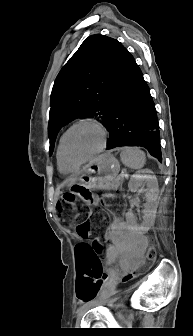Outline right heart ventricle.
Masks as SVG:
<instances>
[{
	"label": "right heart ventricle",
	"instance_id": "right-heart-ventricle-1",
	"mask_svg": "<svg viewBox=\"0 0 193 336\" xmlns=\"http://www.w3.org/2000/svg\"><path fill=\"white\" fill-rule=\"evenodd\" d=\"M56 158H57V165L58 169L62 174H72L78 171L80 164L77 165H72L67 163L61 153V139L59 141L58 147H57V153H56Z\"/></svg>",
	"mask_w": 193,
	"mask_h": 336
}]
</instances>
